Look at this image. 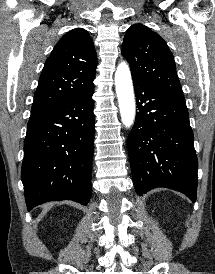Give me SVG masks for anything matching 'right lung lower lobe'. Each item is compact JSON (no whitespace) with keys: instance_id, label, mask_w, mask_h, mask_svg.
Returning <instances> with one entry per match:
<instances>
[{"instance_id":"98d812e1","label":"right lung lower lobe","mask_w":215,"mask_h":274,"mask_svg":"<svg viewBox=\"0 0 215 274\" xmlns=\"http://www.w3.org/2000/svg\"><path fill=\"white\" fill-rule=\"evenodd\" d=\"M94 86L29 119L21 179L27 209L48 201L91 197Z\"/></svg>"}]
</instances>
